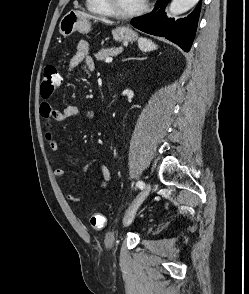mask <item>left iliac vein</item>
Listing matches in <instances>:
<instances>
[{
  "instance_id": "4c4485c4",
  "label": "left iliac vein",
  "mask_w": 249,
  "mask_h": 294,
  "mask_svg": "<svg viewBox=\"0 0 249 294\" xmlns=\"http://www.w3.org/2000/svg\"><path fill=\"white\" fill-rule=\"evenodd\" d=\"M150 191H151V184H150V182H148L145 185L144 189L138 194L136 199L133 201L132 205L129 207V209L124 217V221H123L124 226H129L132 223L137 209L142 204L144 199L148 196Z\"/></svg>"
}]
</instances>
